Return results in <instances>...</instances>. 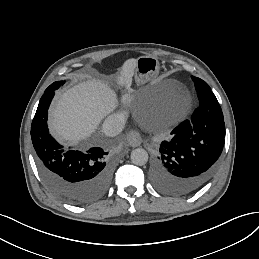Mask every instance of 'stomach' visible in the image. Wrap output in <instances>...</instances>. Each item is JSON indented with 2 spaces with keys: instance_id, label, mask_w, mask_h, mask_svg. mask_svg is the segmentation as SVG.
Masks as SVG:
<instances>
[{
  "instance_id": "1",
  "label": "stomach",
  "mask_w": 259,
  "mask_h": 259,
  "mask_svg": "<svg viewBox=\"0 0 259 259\" xmlns=\"http://www.w3.org/2000/svg\"><path fill=\"white\" fill-rule=\"evenodd\" d=\"M159 71V62L152 56H141L137 60L136 72L140 76H153Z\"/></svg>"
}]
</instances>
